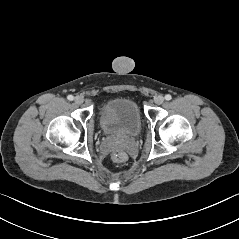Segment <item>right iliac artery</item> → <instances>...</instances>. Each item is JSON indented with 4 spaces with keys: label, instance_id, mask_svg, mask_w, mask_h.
<instances>
[{
    "label": "right iliac artery",
    "instance_id": "right-iliac-artery-1",
    "mask_svg": "<svg viewBox=\"0 0 239 239\" xmlns=\"http://www.w3.org/2000/svg\"><path fill=\"white\" fill-rule=\"evenodd\" d=\"M67 99H68L69 101H72V100L74 99V97H73L72 95H68Z\"/></svg>",
    "mask_w": 239,
    "mask_h": 239
}]
</instances>
